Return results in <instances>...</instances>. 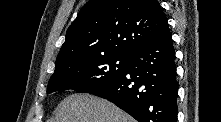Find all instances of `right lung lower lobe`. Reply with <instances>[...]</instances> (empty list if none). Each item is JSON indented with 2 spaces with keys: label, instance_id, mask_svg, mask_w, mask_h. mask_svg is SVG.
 Here are the masks:
<instances>
[{
  "label": "right lung lower lobe",
  "instance_id": "right-lung-lower-lobe-1",
  "mask_svg": "<svg viewBox=\"0 0 221 122\" xmlns=\"http://www.w3.org/2000/svg\"><path fill=\"white\" fill-rule=\"evenodd\" d=\"M175 51L168 25L137 50L126 70L91 94L108 99L139 122H176Z\"/></svg>",
  "mask_w": 221,
  "mask_h": 122
}]
</instances>
